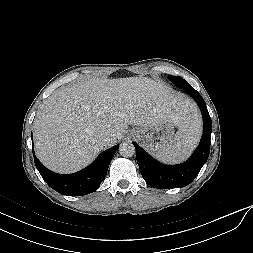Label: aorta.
Instances as JSON below:
<instances>
[{"label": "aorta", "mask_w": 253, "mask_h": 253, "mask_svg": "<svg viewBox=\"0 0 253 253\" xmlns=\"http://www.w3.org/2000/svg\"><path fill=\"white\" fill-rule=\"evenodd\" d=\"M119 153L122 157H132L135 154V147L132 143L124 142L119 147Z\"/></svg>", "instance_id": "762f6f07"}]
</instances>
